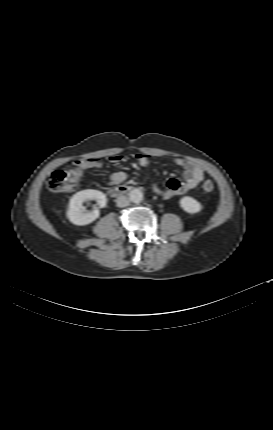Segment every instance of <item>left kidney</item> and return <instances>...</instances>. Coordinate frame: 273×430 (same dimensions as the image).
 <instances>
[{"instance_id":"left-kidney-1","label":"left kidney","mask_w":273,"mask_h":430,"mask_svg":"<svg viewBox=\"0 0 273 430\" xmlns=\"http://www.w3.org/2000/svg\"><path fill=\"white\" fill-rule=\"evenodd\" d=\"M181 208L190 214H195L201 211L202 205L196 199L190 196H185L180 199Z\"/></svg>"}]
</instances>
